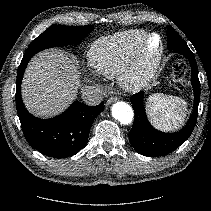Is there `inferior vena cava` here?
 I'll list each match as a JSON object with an SVG mask.
<instances>
[{"label": "inferior vena cava", "instance_id": "602c4592", "mask_svg": "<svg viewBox=\"0 0 211 211\" xmlns=\"http://www.w3.org/2000/svg\"><path fill=\"white\" fill-rule=\"evenodd\" d=\"M81 93L83 101L90 106L98 105L103 98L102 90L95 86H86Z\"/></svg>", "mask_w": 211, "mask_h": 211}]
</instances>
